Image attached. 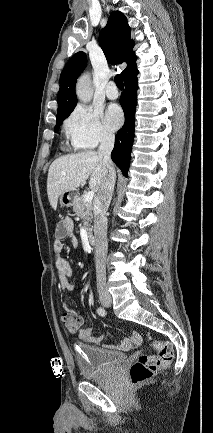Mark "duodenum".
<instances>
[{"label": "duodenum", "instance_id": "duodenum-1", "mask_svg": "<svg viewBox=\"0 0 213 433\" xmlns=\"http://www.w3.org/2000/svg\"><path fill=\"white\" fill-rule=\"evenodd\" d=\"M88 241L91 245H93V246L96 245V243H97L96 236L93 233H90L88 235Z\"/></svg>", "mask_w": 213, "mask_h": 433}]
</instances>
